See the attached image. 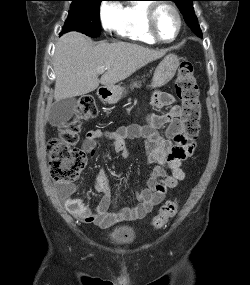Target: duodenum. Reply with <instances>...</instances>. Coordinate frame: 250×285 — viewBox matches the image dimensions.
Wrapping results in <instances>:
<instances>
[{
    "instance_id": "410a0bca",
    "label": "duodenum",
    "mask_w": 250,
    "mask_h": 285,
    "mask_svg": "<svg viewBox=\"0 0 250 285\" xmlns=\"http://www.w3.org/2000/svg\"><path fill=\"white\" fill-rule=\"evenodd\" d=\"M100 95H101L103 98L107 99V98L110 97L111 92H110L108 89H106V88H101V89H100Z\"/></svg>"
}]
</instances>
